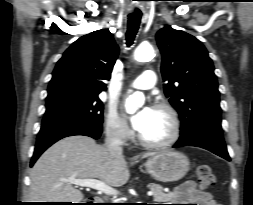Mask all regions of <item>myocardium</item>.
Returning a JSON list of instances; mask_svg holds the SVG:
<instances>
[{"label":"myocardium","mask_w":253,"mask_h":205,"mask_svg":"<svg viewBox=\"0 0 253 205\" xmlns=\"http://www.w3.org/2000/svg\"><path fill=\"white\" fill-rule=\"evenodd\" d=\"M154 109L164 111L168 115L170 123H171L170 135L166 139L161 140V141H149L143 138L140 134H137V140L139 141L140 144L148 148L168 147L174 144L180 137L181 120H180L179 114L172 105L165 102H159L155 104Z\"/></svg>","instance_id":"f54148a6"}]
</instances>
